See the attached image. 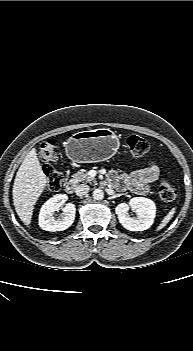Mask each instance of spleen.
I'll return each mask as SVG.
<instances>
[{"label": "spleen", "mask_w": 193, "mask_h": 351, "mask_svg": "<svg viewBox=\"0 0 193 351\" xmlns=\"http://www.w3.org/2000/svg\"><path fill=\"white\" fill-rule=\"evenodd\" d=\"M176 211V208H172L170 210V212L163 218V220L161 221V223L159 224V226L157 227V231L161 230L162 228H164L169 221L172 219V217L174 216Z\"/></svg>", "instance_id": "3e777b00"}]
</instances>
